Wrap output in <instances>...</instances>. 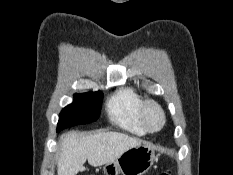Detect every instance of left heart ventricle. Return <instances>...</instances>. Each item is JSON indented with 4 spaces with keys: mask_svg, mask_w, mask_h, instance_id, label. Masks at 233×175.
<instances>
[{
    "mask_svg": "<svg viewBox=\"0 0 233 175\" xmlns=\"http://www.w3.org/2000/svg\"><path fill=\"white\" fill-rule=\"evenodd\" d=\"M148 121L152 128H158L161 124V117L154 108H150L148 111Z\"/></svg>",
    "mask_w": 233,
    "mask_h": 175,
    "instance_id": "1",
    "label": "left heart ventricle"
}]
</instances>
